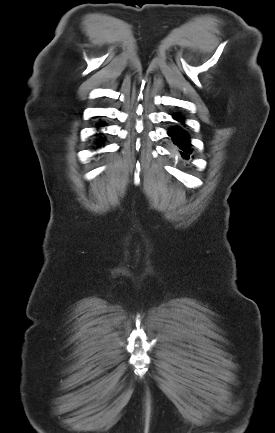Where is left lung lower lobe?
Segmentation results:
<instances>
[{"label": "left lung lower lobe", "mask_w": 275, "mask_h": 433, "mask_svg": "<svg viewBox=\"0 0 275 433\" xmlns=\"http://www.w3.org/2000/svg\"><path fill=\"white\" fill-rule=\"evenodd\" d=\"M173 118L178 122H181L182 126H174L169 129V140L173 142L174 150L177 151V155L179 157H181L185 161L191 160L193 158L191 149L192 145L190 142V136L184 129V118L179 114L173 115Z\"/></svg>", "instance_id": "obj_1"}]
</instances>
